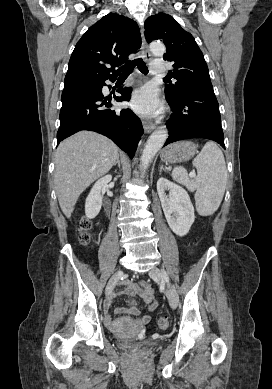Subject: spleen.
<instances>
[{"label": "spleen", "instance_id": "spleen-1", "mask_svg": "<svg viewBox=\"0 0 272 389\" xmlns=\"http://www.w3.org/2000/svg\"><path fill=\"white\" fill-rule=\"evenodd\" d=\"M197 177L189 179L186 170L177 167L172 171L173 179L189 191H195L196 209L199 215H212L223 199L227 169L222 151L214 142H207L193 161Z\"/></svg>", "mask_w": 272, "mask_h": 389}]
</instances>
